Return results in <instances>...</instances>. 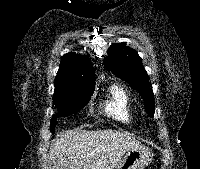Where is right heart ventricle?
Returning <instances> with one entry per match:
<instances>
[{
	"label": "right heart ventricle",
	"instance_id": "obj_1",
	"mask_svg": "<svg viewBox=\"0 0 200 169\" xmlns=\"http://www.w3.org/2000/svg\"><path fill=\"white\" fill-rule=\"evenodd\" d=\"M102 112L122 124L132 122V105L128 92L119 84L109 87L108 98L101 105Z\"/></svg>",
	"mask_w": 200,
	"mask_h": 169
}]
</instances>
